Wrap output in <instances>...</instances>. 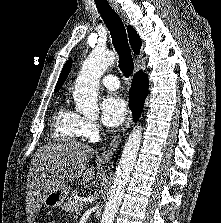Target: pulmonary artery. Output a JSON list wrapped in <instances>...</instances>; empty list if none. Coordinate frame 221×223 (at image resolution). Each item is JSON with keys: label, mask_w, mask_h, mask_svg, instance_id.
Masks as SVG:
<instances>
[{"label": "pulmonary artery", "mask_w": 221, "mask_h": 223, "mask_svg": "<svg viewBox=\"0 0 221 223\" xmlns=\"http://www.w3.org/2000/svg\"><path fill=\"white\" fill-rule=\"evenodd\" d=\"M101 84L109 90H116L119 88V80L116 75L107 74L102 77Z\"/></svg>", "instance_id": "e3ab8cb5"}]
</instances>
